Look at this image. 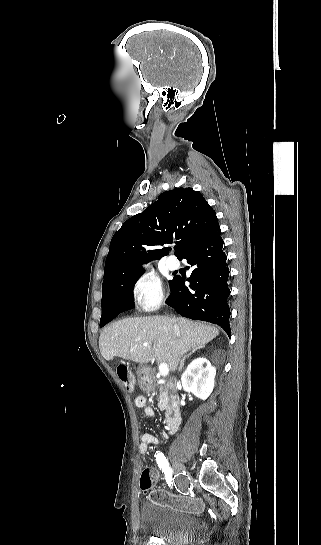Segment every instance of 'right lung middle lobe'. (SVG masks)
<instances>
[{"instance_id":"1","label":"right lung middle lobe","mask_w":321,"mask_h":545,"mask_svg":"<svg viewBox=\"0 0 321 545\" xmlns=\"http://www.w3.org/2000/svg\"><path fill=\"white\" fill-rule=\"evenodd\" d=\"M143 270L133 273L127 276L117 287L111 289L102 290V306L105 304L107 299L113 295H133V288L136 281L143 274ZM170 282V281H169ZM104 326V318L101 316L100 327Z\"/></svg>"}]
</instances>
